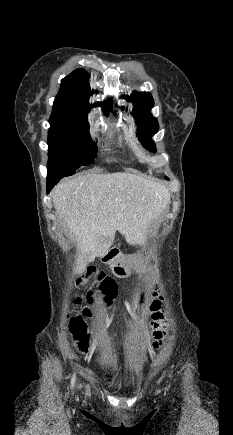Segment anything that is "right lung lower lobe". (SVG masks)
<instances>
[{
  "label": "right lung lower lobe",
  "instance_id": "obj_1",
  "mask_svg": "<svg viewBox=\"0 0 233 435\" xmlns=\"http://www.w3.org/2000/svg\"><path fill=\"white\" fill-rule=\"evenodd\" d=\"M60 178L47 179V193L59 182Z\"/></svg>",
  "mask_w": 233,
  "mask_h": 435
}]
</instances>
